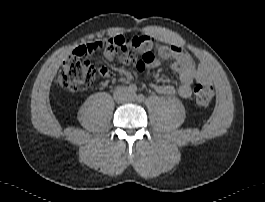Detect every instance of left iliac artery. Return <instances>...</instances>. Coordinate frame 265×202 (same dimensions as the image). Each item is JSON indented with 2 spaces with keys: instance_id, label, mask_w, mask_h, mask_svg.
Instances as JSON below:
<instances>
[{
  "instance_id": "left-iliac-artery-1",
  "label": "left iliac artery",
  "mask_w": 265,
  "mask_h": 202,
  "mask_svg": "<svg viewBox=\"0 0 265 202\" xmlns=\"http://www.w3.org/2000/svg\"><path fill=\"white\" fill-rule=\"evenodd\" d=\"M144 95L143 94H139L138 96H137V101L138 102H142V101H144Z\"/></svg>"
}]
</instances>
